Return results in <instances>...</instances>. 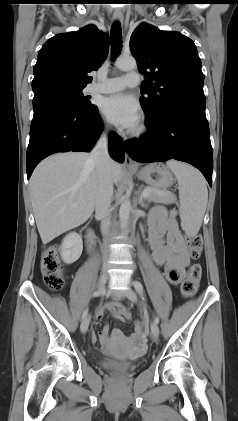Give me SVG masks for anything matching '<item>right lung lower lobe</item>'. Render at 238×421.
<instances>
[{
  "instance_id": "right-lung-lower-lobe-1",
  "label": "right lung lower lobe",
  "mask_w": 238,
  "mask_h": 421,
  "mask_svg": "<svg viewBox=\"0 0 238 421\" xmlns=\"http://www.w3.org/2000/svg\"><path fill=\"white\" fill-rule=\"evenodd\" d=\"M33 120L26 155L27 177L36 165L56 152L90 151L102 130L98 108L85 112L68 99L43 93L33 98ZM109 152L113 159H125L123 141L110 134Z\"/></svg>"
}]
</instances>
